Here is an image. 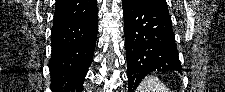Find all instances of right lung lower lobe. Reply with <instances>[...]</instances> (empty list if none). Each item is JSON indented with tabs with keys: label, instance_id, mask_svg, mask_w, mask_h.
I'll return each mask as SVG.
<instances>
[{
	"label": "right lung lower lobe",
	"instance_id": "1",
	"mask_svg": "<svg viewBox=\"0 0 225 92\" xmlns=\"http://www.w3.org/2000/svg\"><path fill=\"white\" fill-rule=\"evenodd\" d=\"M97 14L53 26L49 68L54 91L82 92L97 40Z\"/></svg>",
	"mask_w": 225,
	"mask_h": 92
}]
</instances>
